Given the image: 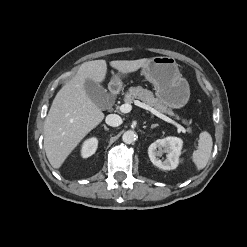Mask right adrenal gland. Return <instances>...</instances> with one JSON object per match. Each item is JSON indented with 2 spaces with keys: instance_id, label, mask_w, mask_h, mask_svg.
I'll return each mask as SVG.
<instances>
[{
  "instance_id": "1",
  "label": "right adrenal gland",
  "mask_w": 247,
  "mask_h": 247,
  "mask_svg": "<svg viewBox=\"0 0 247 247\" xmlns=\"http://www.w3.org/2000/svg\"><path fill=\"white\" fill-rule=\"evenodd\" d=\"M103 128L105 129V131H109V128H107L106 125H103Z\"/></svg>"
}]
</instances>
